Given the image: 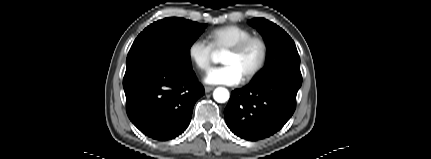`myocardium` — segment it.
<instances>
[{
  "label": "myocardium",
  "mask_w": 431,
  "mask_h": 159,
  "mask_svg": "<svg viewBox=\"0 0 431 159\" xmlns=\"http://www.w3.org/2000/svg\"><path fill=\"white\" fill-rule=\"evenodd\" d=\"M253 44H258L261 50L260 59L256 67L249 72L247 75L243 77L244 81H251L254 78H256L264 69L267 59H268V53L269 48L266 40L261 36H250L243 41L239 42L235 46L229 48L226 50V53H231L234 55H241L243 54L250 46Z\"/></svg>",
  "instance_id": "myocardium-1"
}]
</instances>
